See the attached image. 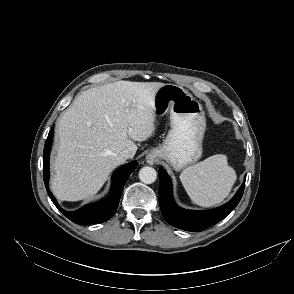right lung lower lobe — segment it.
I'll return each instance as SVG.
<instances>
[{
  "label": "right lung lower lobe",
  "instance_id": "obj_1",
  "mask_svg": "<svg viewBox=\"0 0 294 294\" xmlns=\"http://www.w3.org/2000/svg\"><path fill=\"white\" fill-rule=\"evenodd\" d=\"M53 128L48 134L44 146V155H43V176L45 186L54 205L71 221L76 224H92V223H102L109 220L115 213L119 204L121 193L123 187L128 180L130 174L134 171L137 166V162H131L122 166L115 174L112 176V189L107 198L104 200L89 204L82 207L79 210L68 212L64 211L57 203L54 196L51 194L48 188L49 180V153L51 148V143L53 139Z\"/></svg>",
  "mask_w": 294,
  "mask_h": 294
}]
</instances>
